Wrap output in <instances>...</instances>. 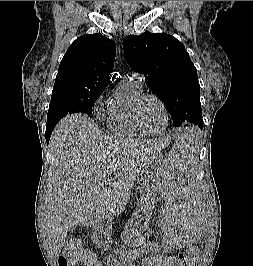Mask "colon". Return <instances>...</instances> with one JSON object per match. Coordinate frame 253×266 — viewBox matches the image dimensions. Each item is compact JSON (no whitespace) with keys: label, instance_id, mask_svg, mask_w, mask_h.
Wrapping results in <instances>:
<instances>
[{"label":"colon","instance_id":"obj_1","mask_svg":"<svg viewBox=\"0 0 253 266\" xmlns=\"http://www.w3.org/2000/svg\"><path fill=\"white\" fill-rule=\"evenodd\" d=\"M198 248L188 249L186 252L173 258H150L149 266H194L199 258ZM59 266H98L95 255L85 249L78 239L69 241L58 260Z\"/></svg>","mask_w":253,"mask_h":266}]
</instances>
